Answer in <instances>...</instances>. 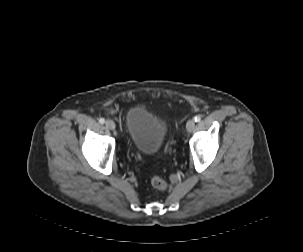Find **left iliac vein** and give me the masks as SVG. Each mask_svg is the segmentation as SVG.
Instances as JSON below:
<instances>
[{
  "label": "left iliac vein",
  "mask_w": 303,
  "mask_h": 252,
  "mask_svg": "<svg viewBox=\"0 0 303 252\" xmlns=\"http://www.w3.org/2000/svg\"><path fill=\"white\" fill-rule=\"evenodd\" d=\"M195 127V121L194 119H190L187 121V124H186V129L188 132H191Z\"/></svg>",
  "instance_id": "1"
}]
</instances>
